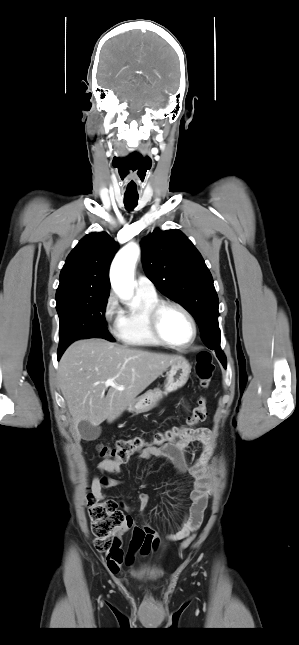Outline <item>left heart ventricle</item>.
<instances>
[{"instance_id": "1", "label": "left heart ventricle", "mask_w": 299, "mask_h": 645, "mask_svg": "<svg viewBox=\"0 0 299 645\" xmlns=\"http://www.w3.org/2000/svg\"><path fill=\"white\" fill-rule=\"evenodd\" d=\"M160 327L165 338L175 343H185L192 335L188 318L176 308L169 307L163 311Z\"/></svg>"}]
</instances>
